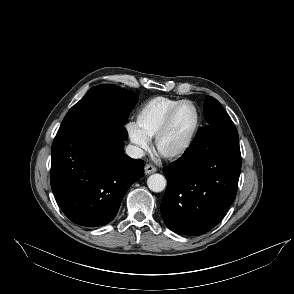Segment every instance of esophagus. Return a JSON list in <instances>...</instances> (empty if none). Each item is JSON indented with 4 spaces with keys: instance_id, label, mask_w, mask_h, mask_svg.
<instances>
[{
    "instance_id": "1",
    "label": "esophagus",
    "mask_w": 294,
    "mask_h": 294,
    "mask_svg": "<svg viewBox=\"0 0 294 294\" xmlns=\"http://www.w3.org/2000/svg\"><path fill=\"white\" fill-rule=\"evenodd\" d=\"M145 174L149 175L157 171V168L152 164H146L144 167Z\"/></svg>"
}]
</instances>
